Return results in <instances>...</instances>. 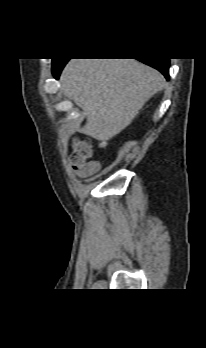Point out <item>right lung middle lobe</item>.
<instances>
[{"label":"right lung middle lobe","mask_w":206,"mask_h":348,"mask_svg":"<svg viewBox=\"0 0 206 348\" xmlns=\"http://www.w3.org/2000/svg\"><path fill=\"white\" fill-rule=\"evenodd\" d=\"M59 61H60V59H53V60H52V66L55 65V64H57Z\"/></svg>","instance_id":"obj_1"}]
</instances>
